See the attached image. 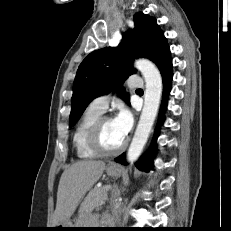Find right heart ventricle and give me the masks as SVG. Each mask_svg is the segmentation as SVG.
Wrapping results in <instances>:
<instances>
[{"label":"right heart ventricle","mask_w":231,"mask_h":231,"mask_svg":"<svg viewBox=\"0 0 231 231\" xmlns=\"http://www.w3.org/2000/svg\"><path fill=\"white\" fill-rule=\"evenodd\" d=\"M101 114V112L89 106L75 127L73 133V146L80 159L91 160L99 156L88 144V132Z\"/></svg>","instance_id":"obj_1"}]
</instances>
